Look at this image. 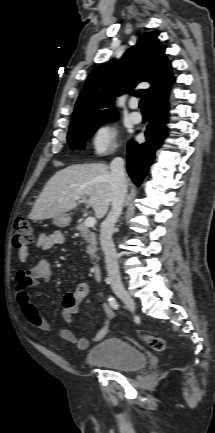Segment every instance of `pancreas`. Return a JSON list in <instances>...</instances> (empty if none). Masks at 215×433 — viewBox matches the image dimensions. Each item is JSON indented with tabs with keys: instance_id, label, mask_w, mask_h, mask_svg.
<instances>
[{
	"instance_id": "cf45deb5",
	"label": "pancreas",
	"mask_w": 215,
	"mask_h": 433,
	"mask_svg": "<svg viewBox=\"0 0 215 433\" xmlns=\"http://www.w3.org/2000/svg\"><path fill=\"white\" fill-rule=\"evenodd\" d=\"M75 228L77 231H79L82 238L87 242L86 252L89 257L92 259L97 258V241L95 233L92 232L84 223L78 224Z\"/></svg>"
}]
</instances>
